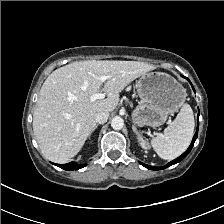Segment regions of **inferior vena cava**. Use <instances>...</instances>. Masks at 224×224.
<instances>
[{
    "label": "inferior vena cava",
    "instance_id": "inferior-vena-cava-1",
    "mask_svg": "<svg viewBox=\"0 0 224 224\" xmlns=\"http://www.w3.org/2000/svg\"><path fill=\"white\" fill-rule=\"evenodd\" d=\"M109 118V113L106 111L99 112L95 115V122L98 124H104Z\"/></svg>",
    "mask_w": 224,
    "mask_h": 224
}]
</instances>
